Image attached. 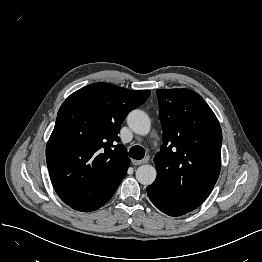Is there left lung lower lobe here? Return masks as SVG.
Returning <instances> with one entry per match:
<instances>
[{"label":"left lung lower lobe","instance_id":"1","mask_svg":"<svg viewBox=\"0 0 262 262\" xmlns=\"http://www.w3.org/2000/svg\"><path fill=\"white\" fill-rule=\"evenodd\" d=\"M147 194L151 202L165 214L177 217L187 213L186 211H183L169 203L162 195H160L153 189L152 185L147 187Z\"/></svg>","mask_w":262,"mask_h":262}]
</instances>
